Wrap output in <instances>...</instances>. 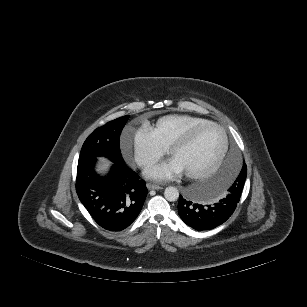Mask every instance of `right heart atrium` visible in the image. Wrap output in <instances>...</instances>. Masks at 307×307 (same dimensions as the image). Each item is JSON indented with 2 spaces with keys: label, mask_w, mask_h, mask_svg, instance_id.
<instances>
[{
  "label": "right heart atrium",
  "mask_w": 307,
  "mask_h": 307,
  "mask_svg": "<svg viewBox=\"0 0 307 307\" xmlns=\"http://www.w3.org/2000/svg\"><path fill=\"white\" fill-rule=\"evenodd\" d=\"M130 148L135 161L142 167L154 164L168 151V146L156 137L150 127L127 131L124 134L121 142L123 154L128 155Z\"/></svg>",
  "instance_id": "right-heart-atrium-1"
}]
</instances>
